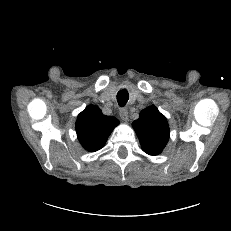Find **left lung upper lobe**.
I'll return each mask as SVG.
<instances>
[{
    "instance_id": "left-lung-upper-lobe-1",
    "label": "left lung upper lobe",
    "mask_w": 231,
    "mask_h": 231,
    "mask_svg": "<svg viewBox=\"0 0 231 231\" xmlns=\"http://www.w3.org/2000/svg\"><path fill=\"white\" fill-rule=\"evenodd\" d=\"M132 126L144 152L155 156L163 151L169 140L170 130L167 119L156 106L142 110Z\"/></svg>"
}]
</instances>
